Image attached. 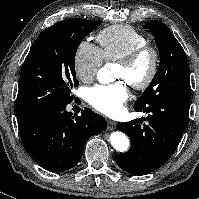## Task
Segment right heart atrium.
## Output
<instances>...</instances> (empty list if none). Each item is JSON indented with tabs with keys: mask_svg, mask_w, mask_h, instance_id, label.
Wrapping results in <instances>:
<instances>
[{
	"mask_svg": "<svg viewBox=\"0 0 199 199\" xmlns=\"http://www.w3.org/2000/svg\"><path fill=\"white\" fill-rule=\"evenodd\" d=\"M103 58L98 47L88 41H81L76 48L73 64L77 78L83 82L91 81L98 73Z\"/></svg>",
	"mask_w": 199,
	"mask_h": 199,
	"instance_id": "right-heart-atrium-1",
	"label": "right heart atrium"
}]
</instances>
